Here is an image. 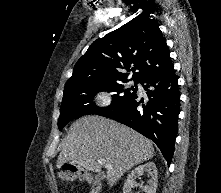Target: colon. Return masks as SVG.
<instances>
[{
	"instance_id": "obj_1",
	"label": "colon",
	"mask_w": 221,
	"mask_h": 193,
	"mask_svg": "<svg viewBox=\"0 0 221 193\" xmlns=\"http://www.w3.org/2000/svg\"><path fill=\"white\" fill-rule=\"evenodd\" d=\"M66 171L74 174L76 172V169L72 166H69ZM86 177L87 179L93 181L91 193H100V184L97 181L93 180L91 176L86 175Z\"/></svg>"
}]
</instances>
